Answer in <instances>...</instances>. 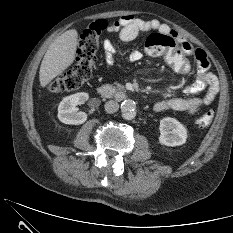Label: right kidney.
<instances>
[{
  "label": "right kidney",
  "instance_id": "obj_1",
  "mask_svg": "<svg viewBox=\"0 0 233 233\" xmlns=\"http://www.w3.org/2000/svg\"><path fill=\"white\" fill-rule=\"evenodd\" d=\"M89 99V95L85 92L72 94L63 98L58 106V119L69 125H80L87 120V114L77 112V105L83 104Z\"/></svg>",
  "mask_w": 233,
  "mask_h": 233
}]
</instances>
